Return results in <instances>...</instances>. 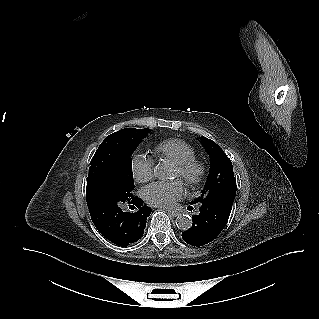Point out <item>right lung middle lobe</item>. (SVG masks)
Here are the masks:
<instances>
[{
  "instance_id": "right-lung-middle-lobe-1",
  "label": "right lung middle lobe",
  "mask_w": 319,
  "mask_h": 319,
  "mask_svg": "<svg viewBox=\"0 0 319 319\" xmlns=\"http://www.w3.org/2000/svg\"><path fill=\"white\" fill-rule=\"evenodd\" d=\"M150 129L125 128L109 136L94 154L87 179V191L108 188L123 195L134 188L131 155Z\"/></svg>"
}]
</instances>
